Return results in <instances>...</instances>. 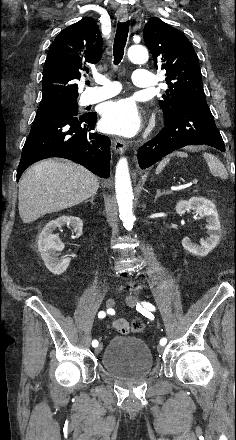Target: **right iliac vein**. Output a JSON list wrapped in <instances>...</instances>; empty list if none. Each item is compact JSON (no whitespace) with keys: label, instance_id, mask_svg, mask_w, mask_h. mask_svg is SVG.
<instances>
[{"label":"right iliac vein","instance_id":"1","mask_svg":"<svg viewBox=\"0 0 236 440\" xmlns=\"http://www.w3.org/2000/svg\"><path fill=\"white\" fill-rule=\"evenodd\" d=\"M114 304H115V300L113 298L107 299V301H106L107 308H112L114 306ZM102 348H103V345L99 344L97 346V348L95 349V353L99 354L101 352Z\"/></svg>","mask_w":236,"mask_h":440}]
</instances>
